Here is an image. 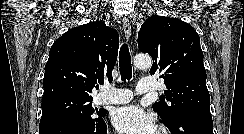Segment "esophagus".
Masks as SVG:
<instances>
[{
	"mask_svg": "<svg viewBox=\"0 0 244 134\" xmlns=\"http://www.w3.org/2000/svg\"><path fill=\"white\" fill-rule=\"evenodd\" d=\"M122 25L127 40H130L132 35L131 25L129 23V20L126 17L122 19Z\"/></svg>",
	"mask_w": 244,
	"mask_h": 134,
	"instance_id": "obj_1",
	"label": "esophagus"
}]
</instances>
